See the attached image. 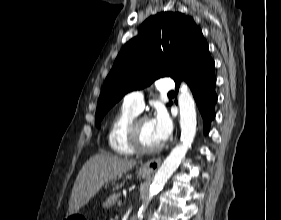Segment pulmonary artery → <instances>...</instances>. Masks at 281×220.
Returning <instances> with one entry per match:
<instances>
[{
  "instance_id": "obj_1",
  "label": "pulmonary artery",
  "mask_w": 281,
  "mask_h": 220,
  "mask_svg": "<svg viewBox=\"0 0 281 220\" xmlns=\"http://www.w3.org/2000/svg\"><path fill=\"white\" fill-rule=\"evenodd\" d=\"M156 87L162 92L171 91L174 83L170 78H161L157 81ZM124 104L133 108L137 112H141L144 108V93L141 90L128 93L124 97Z\"/></svg>"
}]
</instances>
